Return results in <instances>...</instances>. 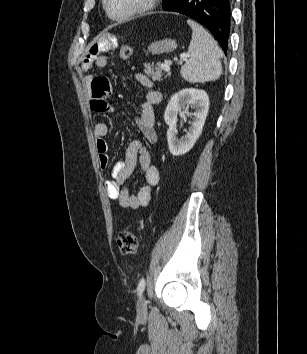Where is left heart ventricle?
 <instances>
[{
	"instance_id": "b2bd125f",
	"label": "left heart ventricle",
	"mask_w": 307,
	"mask_h": 354,
	"mask_svg": "<svg viewBox=\"0 0 307 354\" xmlns=\"http://www.w3.org/2000/svg\"><path fill=\"white\" fill-rule=\"evenodd\" d=\"M143 0H109V9L113 15L119 16L135 9Z\"/></svg>"
}]
</instances>
